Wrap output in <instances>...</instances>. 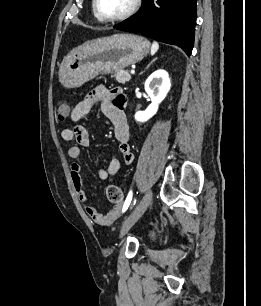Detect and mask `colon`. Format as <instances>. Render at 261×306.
<instances>
[{
    "mask_svg": "<svg viewBox=\"0 0 261 306\" xmlns=\"http://www.w3.org/2000/svg\"><path fill=\"white\" fill-rule=\"evenodd\" d=\"M69 104L65 100H61L56 105L57 117L59 120L63 121L67 118L69 114ZM106 195L110 202L121 203L123 201V192L116 185H109L106 189Z\"/></svg>",
    "mask_w": 261,
    "mask_h": 306,
    "instance_id": "colon-1",
    "label": "colon"
}]
</instances>
